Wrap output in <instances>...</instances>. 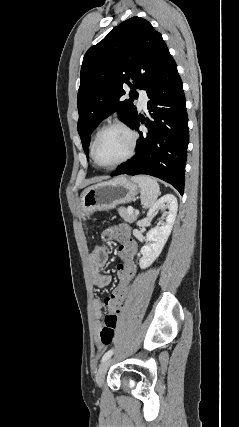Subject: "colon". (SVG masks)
Returning <instances> with one entry per match:
<instances>
[{"mask_svg":"<svg viewBox=\"0 0 239 427\" xmlns=\"http://www.w3.org/2000/svg\"><path fill=\"white\" fill-rule=\"evenodd\" d=\"M130 226L127 222H111L109 228L102 233V239L109 244H119L116 263V281L108 296L104 297V304L108 305L104 319V327L100 332V340L104 346L110 345L115 337L122 306L132 292V283L137 275L138 263L135 262L138 245L130 235Z\"/></svg>","mask_w":239,"mask_h":427,"instance_id":"1","label":"colon"}]
</instances>
